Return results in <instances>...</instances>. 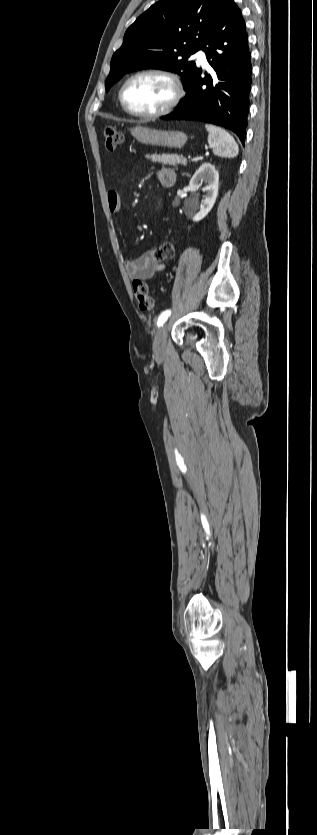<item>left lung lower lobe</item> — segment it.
Returning <instances> with one entry per match:
<instances>
[{
    "mask_svg": "<svg viewBox=\"0 0 317 835\" xmlns=\"http://www.w3.org/2000/svg\"><path fill=\"white\" fill-rule=\"evenodd\" d=\"M201 49L216 75L202 77L197 68L184 87L185 98L162 119L216 124L232 130L244 145L252 66L245 22L233 0Z\"/></svg>",
    "mask_w": 317,
    "mask_h": 835,
    "instance_id": "obj_1",
    "label": "left lung lower lobe"
}]
</instances>
